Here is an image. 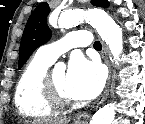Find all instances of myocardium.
<instances>
[{
    "instance_id": "myocardium-1",
    "label": "myocardium",
    "mask_w": 145,
    "mask_h": 124,
    "mask_svg": "<svg viewBox=\"0 0 145 124\" xmlns=\"http://www.w3.org/2000/svg\"><path fill=\"white\" fill-rule=\"evenodd\" d=\"M42 92L45 100L54 108L63 109L71 107L74 101L62 95L57 89L51 72H46L42 80Z\"/></svg>"
}]
</instances>
